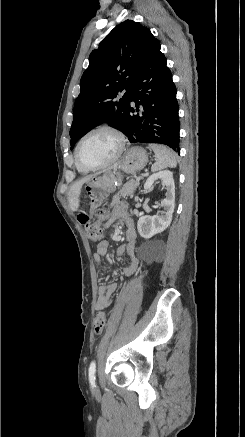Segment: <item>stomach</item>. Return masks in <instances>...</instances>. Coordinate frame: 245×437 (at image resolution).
<instances>
[{
    "label": "stomach",
    "instance_id": "stomach-1",
    "mask_svg": "<svg viewBox=\"0 0 245 437\" xmlns=\"http://www.w3.org/2000/svg\"><path fill=\"white\" fill-rule=\"evenodd\" d=\"M148 163L146 150L135 146L127 150L122 162L113 170L106 171L103 175H93L85 183L84 190L90 200L91 209L98 208L110 193L116 190L117 184L122 181L120 171L136 173L142 170Z\"/></svg>",
    "mask_w": 245,
    "mask_h": 437
}]
</instances>
